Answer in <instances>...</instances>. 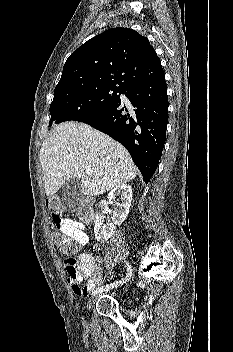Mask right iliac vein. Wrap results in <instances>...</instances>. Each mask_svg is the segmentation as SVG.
<instances>
[{
  "label": "right iliac vein",
  "mask_w": 233,
  "mask_h": 352,
  "mask_svg": "<svg viewBox=\"0 0 233 352\" xmlns=\"http://www.w3.org/2000/svg\"><path fill=\"white\" fill-rule=\"evenodd\" d=\"M100 293H102V292H99V293L95 294V295L89 300V302H88V304H87V309H88V310L91 309V307L94 305V303H95V301L98 299V296L100 295Z\"/></svg>",
  "instance_id": "obj_1"
}]
</instances>
